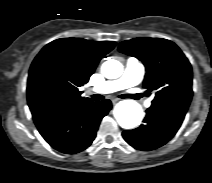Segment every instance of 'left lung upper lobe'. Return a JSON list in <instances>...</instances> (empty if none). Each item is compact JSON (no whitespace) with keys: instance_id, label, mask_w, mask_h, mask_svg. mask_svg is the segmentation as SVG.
I'll return each mask as SVG.
<instances>
[{"instance_id":"obj_1","label":"left lung upper lobe","mask_w":212,"mask_h":183,"mask_svg":"<svg viewBox=\"0 0 212 183\" xmlns=\"http://www.w3.org/2000/svg\"><path fill=\"white\" fill-rule=\"evenodd\" d=\"M121 53L138 58L146 67L143 87L153 91L154 105L187 110L192 99V68L172 41L139 37L121 42Z\"/></svg>"}]
</instances>
